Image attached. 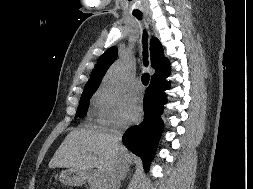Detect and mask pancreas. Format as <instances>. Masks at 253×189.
<instances>
[{"instance_id": "cf45deb5", "label": "pancreas", "mask_w": 253, "mask_h": 189, "mask_svg": "<svg viewBox=\"0 0 253 189\" xmlns=\"http://www.w3.org/2000/svg\"><path fill=\"white\" fill-rule=\"evenodd\" d=\"M87 182L90 186V189H103L104 176L102 173L93 171L88 174Z\"/></svg>"}]
</instances>
